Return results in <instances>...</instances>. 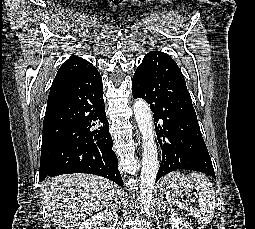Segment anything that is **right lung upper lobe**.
<instances>
[{
  "label": "right lung upper lobe",
  "mask_w": 255,
  "mask_h": 229,
  "mask_svg": "<svg viewBox=\"0 0 255 229\" xmlns=\"http://www.w3.org/2000/svg\"><path fill=\"white\" fill-rule=\"evenodd\" d=\"M93 65L80 57H70L57 72L53 81L48 102L66 94L73 82Z\"/></svg>",
  "instance_id": "1"
}]
</instances>
